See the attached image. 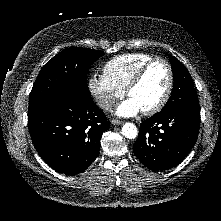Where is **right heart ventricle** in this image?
I'll return each instance as SVG.
<instances>
[{
	"mask_svg": "<svg viewBox=\"0 0 221 221\" xmlns=\"http://www.w3.org/2000/svg\"><path fill=\"white\" fill-rule=\"evenodd\" d=\"M151 58V55L145 53L122 54L109 60L103 72L111 82L125 90L139 67Z\"/></svg>",
	"mask_w": 221,
	"mask_h": 221,
	"instance_id": "1",
	"label": "right heart ventricle"
}]
</instances>
